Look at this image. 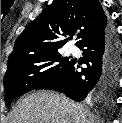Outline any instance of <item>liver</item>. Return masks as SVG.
Returning <instances> with one entry per match:
<instances>
[{
	"label": "liver",
	"mask_w": 122,
	"mask_h": 123,
	"mask_svg": "<svg viewBox=\"0 0 122 123\" xmlns=\"http://www.w3.org/2000/svg\"><path fill=\"white\" fill-rule=\"evenodd\" d=\"M11 123H95L94 116L82 104L63 94L39 90L20 99L14 107Z\"/></svg>",
	"instance_id": "liver-1"
}]
</instances>
